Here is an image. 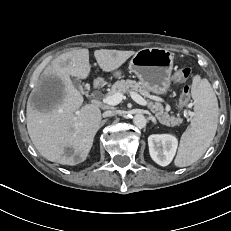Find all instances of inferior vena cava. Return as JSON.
I'll return each mask as SVG.
<instances>
[{"instance_id":"602c4592","label":"inferior vena cava","mask_w":231,"mask_h":231,"mask_svg":"<svg viewBox=\"0 0 231 231\" xmlns=\"http://www.w3.org/2000/svg\"><path fill=\"white\" fill-rule=\"evenodd\" d=\"M117 113H118V111H116V110H108V111L103 112L102 116L105 118L106 117H112V116L116 115Z\"/></svg>"}]
</instances>
